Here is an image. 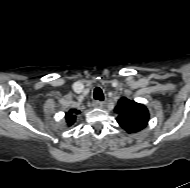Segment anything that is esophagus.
<instances>
[{
    "instance_id": "obj_1",
    "label": "esophagus",
    "mask_w": 190,
    "mask_h": 188,
    "mask_svg": "<svg viewBox=\"0 0 190 188\" xmlns=\"http://www.w3.org/2000/svg\"><path fill=\"white\" fill-rule=\"evenodd\" d=\"M92 106L94 108H102L104 106V102L101 101H93Z\"/></svg>"
}]
</instances>
